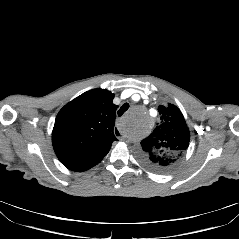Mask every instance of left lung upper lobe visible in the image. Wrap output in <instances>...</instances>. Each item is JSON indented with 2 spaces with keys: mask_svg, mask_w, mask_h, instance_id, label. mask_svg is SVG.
<instances>
[{
  "mask_svg": "<svg viewBox=\"0 0 239 239\" xmlns=\"http://www.w3.org/2000/svg\"><path fill=\"white\" fill-rule=\"evenodd\" d=\"M160 123L153 133L142 140L141 161L156 172L174 168L186 152L190 133L186 121L173 104L158 107Z\"/></svg>",
  "mask_w": 239,
  "mask_h": 239,
  "instance_id": "left-lung-upper-lobe-1",
  "label": "left lung upper lobe"
}]
</instances>
